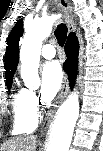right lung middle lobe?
<instances>
[{
    "instance_id": "1",
    "label": "right lung middle lobe",
    "mask_w": 103,
    "mask_h": 151,
    "mask_svg": "<svg viewBox=\"0 0 103 151\" xmlns=\"http://www.w3.org/2000/svg\"><path fill=\"white\" fill-rule=\"evenodd\" d=\"M6 85L8 88H10L12 85V80H6Z\"/></svg>"
}]
</instances>
